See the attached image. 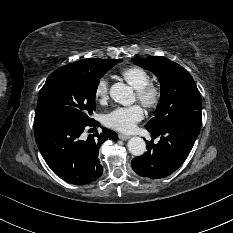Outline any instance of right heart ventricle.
<instances>
[{"label": "right heart ventricle", "instance_id": "right-heart-ventricle-1", "mask_svg": "<svg viewBox=\"0 0 233 233\" xmlns=\"http://www.w3.org/2000/svg\"><path fill=\"white\" fill-rule=\"evenodd\" d=\"M121 75L136 90H140L150 83L149 73L138 66L123 69Z\"/></svg>", "mask_w": 233, "mask_h": 233}]
</instances>
